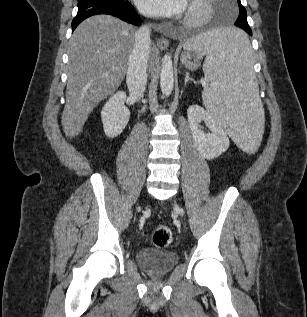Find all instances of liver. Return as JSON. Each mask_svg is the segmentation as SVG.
I'll return each instance as SVG.
<instances>
[{
  "instance_id": "1",
  "label": "liver",
  "mask_w": 307,
  "mask_h": 317,
  "mask_svg": "<svg viewBox=\"0 0 307 317\" xmlns=\"http://www.w3.org/2000/svg\"><path fill=\"white\" fill-rule=\"evenodd\" d=\"M135 29L109 15H96L74 31L68 48L66 104L63 131L74 137L82 131L97 104L113 93L124 79L135 45ZM153 67L157 50L149 54Z\"/></svg>"
}]
</instances>
